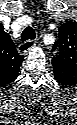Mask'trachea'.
I'll return each mask as SVG.
<instances>
[{
    "instance_id": "3493384b",
    "label": "trachea",
    "mask_w": 77,
    "mask_h": 125,
    "mask_svg": "<svg viewBox=\"0 0 77 125\" xmlns=\"http://www.w3.org/2000/svg\"><path fill=\"white\" fill-rule=\"evenodd\" d=\"M36 37V33L32 27H26L24 31L21 34V40L27 41V40H33Z\"/></svg>"
}]
</instances>
